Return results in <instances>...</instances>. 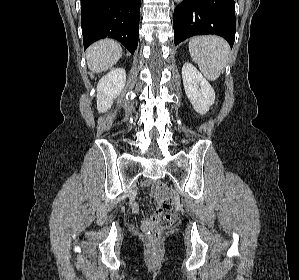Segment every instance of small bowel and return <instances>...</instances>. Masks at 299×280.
Returning a JSON list of instances; mask_svg holds the SVG:
<instances>
[{
	"mask_svg": "<svg viewBox=\"0 0 299 280\" xmlns=\"http://www.w3.org/2000/svg\"><path fill=\"white\" fill-rule=\"evenodd\" d=\"M158 191H159L158 183H156L154 185L153 189H152V195L154 197H158ZM131 207H132L133 212H135V213L138 212L139 208H138V205L136 203H132ZM151 222H152V220L146 219V220L142 221V225H143L144 228H147L151 224Z\"/></svg>",
	"mask_w": 299,
	"mask_h": 280,
	"instance_id": "c3829d8e",
	"label": "small bowel"
}]
</instances>
